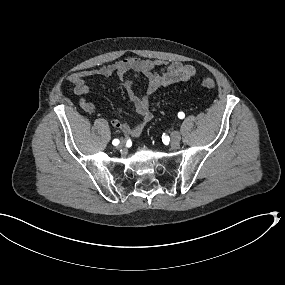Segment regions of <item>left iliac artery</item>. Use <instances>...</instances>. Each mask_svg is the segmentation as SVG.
Wrapping results in <instances>:
<instances>
[{"label": "left iliac artery", "mask_w": 285, "mask_h": 285, "mask_svg": "<svg viewBox=\"0 0 285 285\" xmlns=\"http://www.w3.org/2000/svg\"><path fill=\"white\" fill-rule=\"evenodd\" d=\"M178 117H179L180 119H183V118L185 117V114H184L183 112H179V113H178Z\"/></svg>", "instance_id": "obj_1"}]
</instances>
